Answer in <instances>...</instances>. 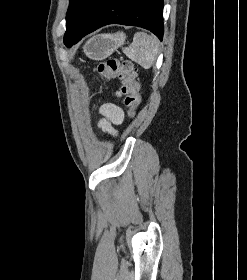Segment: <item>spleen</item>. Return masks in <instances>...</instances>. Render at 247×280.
<instances>
[{
	"instance_id": "1",
	"label": "spleen",
	"mask_w": 247,
	"mask_h": 280,
	"mask_svg": "<svg viewBox=\"0 0 247 280\" xmlns=\"http://www.w3.org/2000/svg\"><path fill=\"white\" fill-rule=\"evenodd\" d=\"M123 53L143 68L150 69L158 53V40L155 36L137 32L133 42L123 49Z\"/></svg>"
}]
</instances>
